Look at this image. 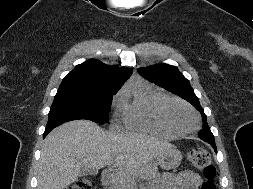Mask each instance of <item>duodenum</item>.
<instances>
[{
    "instance_id": "obj_1",
    "label": "duodenum",
    "mask_w": 253,
    "mask_h": 189,
    "mask_svg": "<svg viewBox=\"0 0 253 189\" xmlns=\"http://www.w3.org/2000/svg\"><path fill=\"white\" fill-rule=\"evenodd\" d=\"M113 177H114L113 171L110 169H105L101 175L102 184L106 187L111 185L113 181Z\"/></svg>"
}]
</instances>
